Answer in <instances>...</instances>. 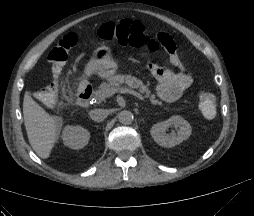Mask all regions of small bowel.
I'll list each match as a JSON object with an SVG mask.
<instances>
[{"mask_svg": "<svg viewBox=\"0 0 254 216\" xmlns=\"http://www.w3.org/2000/svg\"><path fill=\"white\" fill-rule=\"evenodd\" d=\"M154 40L166 50L170 67L175 71L150 65L149 68L156 79L155 91L162 100L172 102L179 99L191 86L192 77L180 61V56L176 51V42L167 33L158 31L154 35Z\"/></svg>", "mask_w": 254, "mask_h": 216, "instance_id": "c3829d8e", "label": "small bowel"}]
</instances>
